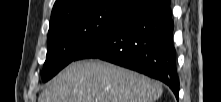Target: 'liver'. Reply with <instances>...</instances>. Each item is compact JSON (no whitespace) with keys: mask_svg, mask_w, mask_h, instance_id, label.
<instances>
[{"mask_svg":"<svg viewBox=\"0 0 221 102\" xmlns=\"http://www.w3.org/2000/svg\"><path fill=\"white\" fill-rule=\"evenodd\" d=\"M160 83L101 60L70 64L47 85L39 102H155Z\"/></svg>","mask_w":221,"mask_h":102,"instance_id":"1","label":"liver"}]
</instances>
